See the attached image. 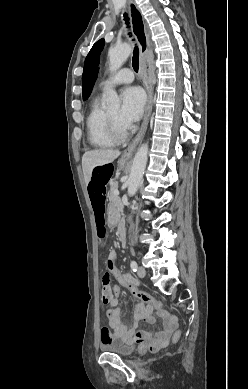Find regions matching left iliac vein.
Returning <instances> with one entry per match:
<instances>
[{"label":"left iliac vein","instance_id":"obj_1","mask_svg":"<svg viewBox=\"0 0 248 389\" xmlns=\"http://www.w3.org/2000/svg\"><path fill=\"white\" fill-rule=\"evenodd\" d=\"M137 274H138V276H139L140 278L145 277V275H146V270H145V268L142 267V266L138 267Z\"/></svg>","mask_w":248,"mask_h":389}]
</instances>
